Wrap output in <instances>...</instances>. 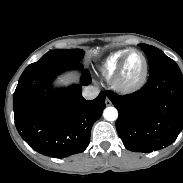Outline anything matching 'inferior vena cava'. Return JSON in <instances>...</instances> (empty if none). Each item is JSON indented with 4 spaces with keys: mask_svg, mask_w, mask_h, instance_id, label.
Returning <instances> with one entry per match:
<instances>
[{
    "mask_svg": "<svg viewBox=\"0 0 183 183\" xmlns=\"http://www.w3.org/2000/svg\"><path fill=\"white\" fill-rule=\"evenodd\" d=\"M99 95V89L97 87L88 86L84 88L82 96L87 100H92Z\"/></svg>",
    "mask_w": 183,
    "mask_h": 183,
    "instance_id": "1",
    "label": "inferior vena cava"
}]
</instances>
